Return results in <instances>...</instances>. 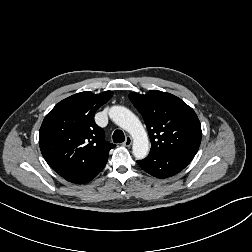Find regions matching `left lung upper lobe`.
<instances>
[{"label":"left lung upper lobe","mask_w":252,"mask_h":252,"mask_svg":"<svg viewBox=\"0 0 252 252\" xmlns=\"http://www.w3.org/2000/svg\"><path fill=\"white\" fill-rule=\"evenodd\" d=\"M129 98L144 118L151 150L149 156L181 154L194 157L202 131L194 110L178 97L151 90L145 95L130 93Z\"/></svg>","instance_id":"1"}]
</instances>
